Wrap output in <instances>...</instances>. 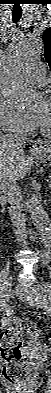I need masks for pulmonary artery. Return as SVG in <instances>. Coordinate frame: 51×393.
Listing matches in <instances>:
<instances>
[{
  "instance_id": "obj_1",
  "label": "pulmonary artery",
  "mask_w": 51,
  "mask_h": 393,
  "mask_svg": "<svg viewBox=\"0 0 51 393\" xmlns=\"http://www.w3.org/2000/svg\"><path fill=\"white\" fill-rule=\"evenodd\" d=\"M30 82L36 87H42L47 82V77L41 67L33 68L29 76Z\"/></svg>"
}]
</instances>
